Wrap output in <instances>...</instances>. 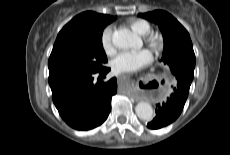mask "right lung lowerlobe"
Returning <instances> with one entry per match:
<instances>
[{
  "mask_svg": "<svg viewBox=\"0 0 230 155\" xmlns=\"http://www.w3.org/2000/svg\"><path fill=\"white\" fill-rule=\"evenodd\" d=\"M109 68L97 72H68L49 75L52 99L60 116L72 128L89 130L101 125L111 110L116 94V78L94 83V75L104 76Z\"/></svg>",
  "mask_w": 230,
  "mask_h": 155,
  "instance_id": "right-lung-lower-lobe-1",
  "label": "right lung lower lobe"
}]
</instances>
